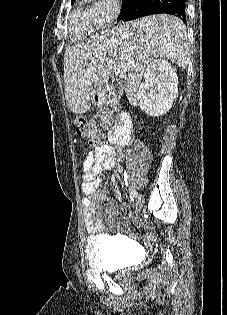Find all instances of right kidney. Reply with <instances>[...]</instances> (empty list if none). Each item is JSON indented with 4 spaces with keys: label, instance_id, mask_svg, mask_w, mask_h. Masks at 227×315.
Segmentation results:
<instances>
[{
    "label": "right kidney",
    "instance_id": "obj_1",
    "mask_svg": "<svg viewBox=\"0 0 227 315\" xmlns=\"http://www.w3.org/2000/svg\"><path fill=\"white\" fill-rule=\"evenodd\" d=\"M144 79L137 95L138 105L150 116L165 114L178 94V76L175 70L169 62L157 59L147 66Z\"/></svg>",
    "mask_w": 227,
    "mask_h": 315
}]
</instances>
